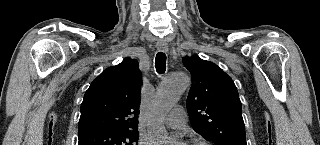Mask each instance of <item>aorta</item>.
<instances>
[{
  "instance_id": "1",
  "label": "aorta",
  "mask_w": 320,
  "mask_h": 145,
  "mask_svg": "<svg viewBox=\"0 0 320 145\" xmlns=\"http://www.w3.org/2000/svg\"><path fill=\"white\" fill-rule=\"evenodd\" d=\"M189 84V77L179 72L165 77L160 85L152 106L149 124V134L154 145H171L169 134L161 120L176 105Z\"/></svg>"
}]
</instances>
